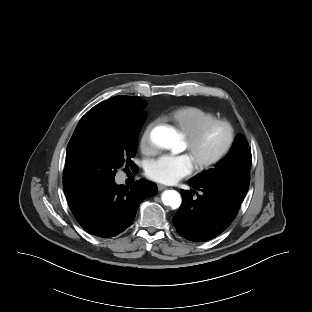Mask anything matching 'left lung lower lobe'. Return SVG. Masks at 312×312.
Returning a JSON list of instances; mask_svg holds the SVG:
<instances>
[{"label": "left lung lower lobe", "mask_w": 312, "mask_h": 312, "mask_svg": "<svg viewBox=\"0 0 312 312\" xmlns=\"http://www.w3.org/2000/svg\"><path fill=\"white\" fill-rule=\"evenodd\" d=\"M196 191L182 190V205L173 217L177 232L187 240L204 242L222 233L234 220L242 201L217 184L189 181Z\"/></svg>", "instance_id": "1"}]
</instances>
